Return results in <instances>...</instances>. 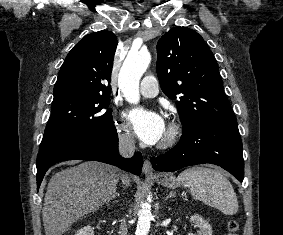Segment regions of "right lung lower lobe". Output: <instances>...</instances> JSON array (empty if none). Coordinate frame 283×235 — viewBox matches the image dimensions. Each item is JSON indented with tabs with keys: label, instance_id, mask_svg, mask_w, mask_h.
Wrapping results in <instances>:
<instances>
[{
	"label": "right lung lower lobe",
	"instance_id": "1",
	"mask_svg": "<svg viewBox=\"0 0 283 235\" xmlns=\"http://www.w3.org/2000/svg\"><path fill=\"white\" fill-rule=\"evenodd\" d=\"M94 160L116 165L133 174L140 175L143 159L136 152L130 159L118 154V135L113 127L93 136H78L66 140L37 156V189L50 166L64 160Z\"/></svg>",
	"mask_w": 283,
	"mask_h": 235
}]
</instances>
